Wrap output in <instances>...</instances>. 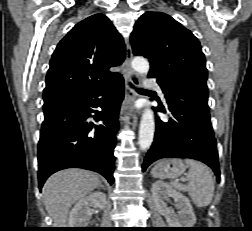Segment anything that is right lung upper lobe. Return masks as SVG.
Wrapping results in <instances>:
<instances>
[{
	"instance_id": "1",
	"label": "right lung upper lobe",
	"mask_w": 252,
	"mask_h": 231,
	"mask_svg": "<svg viewBox=\"0 0 252 231\" xmlns=\"http://www.w3.org/2000/svg\"><path fill=\"white\" fill-rule=\"evenodd\" d=\"M124 58L125 45L110 20L103 14L86 18L56 47L46 76L44 102L71 99L121 78L109 68L120 65Z\"/></svg>"
}]
</instances>
